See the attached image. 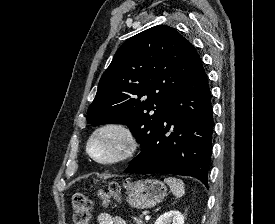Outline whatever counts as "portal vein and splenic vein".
Returning a JSON list of instances; mask_svg holds the SVG:
<instances>
[{
  "label": "portal vein and splenic vein",
  "instance_id": "18ae733b",
  "mask_svg": "<svg viewBox=\"0 0 275 224\" xmlns=\"http://www.w3.org/2000/svg\"><path fill=\"white\" fill-rule=\"evenodd\" d=\"M150 219V216L149 215H146L145 216V220L148 221Z\"/></svg>",
  "mask_w": 275,
  "mask_h": 224
}]
</instances>
